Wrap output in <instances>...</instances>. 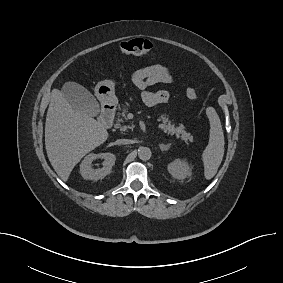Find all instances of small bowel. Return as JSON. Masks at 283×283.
<instances>
[{"label":"small bowel","mask_w":283,"mask_h":283,"mask_svg":"<svg viewBox=\"0 0 283 283\" xmlns=\"http://www.w3.org/2000/svg\"><path fill=\"white\" fill-rule=\"evenodd\" d=\"M173 80L172 70L160 64L137 69L131 74L132 83L142 90V100L150 107L167 103L169 93L167 91H150L148 88L158 83H171Z\"/></svg>","instance_id":"c3829d8e"}]
</instances>
